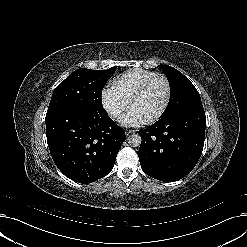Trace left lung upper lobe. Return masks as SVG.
Here are the masks:
<instances>
[{
	"label": "left lung upper lobe",
	"instance_id": "obj_1",
	"mask_svg": "<svg viewBox=\"0 0 247 247\" xmlns=\"http://www.w3.org/2000/svg\"><path fill=\"white\" fill-rule=\"evenodd\" d=\"M159 67L168 74L173 89V96H175L170 109L163 119L170 118L189 107L201 103L198 91L186 76L168 65H159Z\"/></svg>",
	"mask_w": 247,
	"mask_h": 247
}]
</instances>
